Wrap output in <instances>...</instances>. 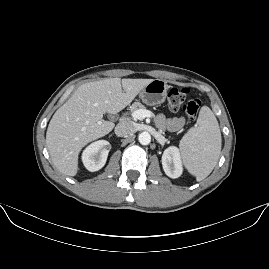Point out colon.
<instances>
[{"label": "colon", "instance_id": "obj_1", "mask_svg": "<svg viewBox=\"0 0 269 269\" xmlns=\"http://www.w3.org/2000/svg\"><path fill=\"white\" fill-rule=\"evenodd\" d=\"M187 88L173 87L167 93L168 108L171 111L183 110L190 119H196L199 114L201 100L188 98Z\"/></svg>", "mask_w": 269, "mask_h": 269}]
</instances>
